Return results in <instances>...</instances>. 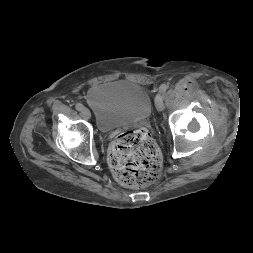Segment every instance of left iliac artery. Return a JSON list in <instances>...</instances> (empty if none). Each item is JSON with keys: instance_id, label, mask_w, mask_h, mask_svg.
<instances>
[{"instance_id": "obj_1", "label": "left iliac artery", "mask_w": 253, "mask_h": 253, "mask_svg": "<svg viewBox=\"0 0 253 253\" xmlns=\"http://www.w3.org/2000/svg\"><path fill=\"white\" fill-rule=\"evenodd\" d=\"M168 86L166 84H162L160 87H159V91L160 92H165L167 90Z\"/></svg>"}]
</instances>
